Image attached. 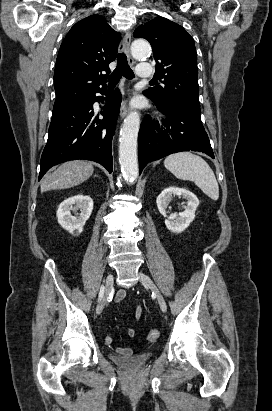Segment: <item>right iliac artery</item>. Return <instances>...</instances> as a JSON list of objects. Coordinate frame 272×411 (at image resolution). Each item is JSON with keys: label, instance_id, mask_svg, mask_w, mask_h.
<instances>
[{"label": "right iliac artery", "instance_id": "right-iliac-artery-1", "mask_svg": "<svg viewBox=\"0 0 272 411\" xmlns=\"http://www.w3.org/2000/svg\"><path fill=\"white\" fill-rule=\"evenodd\" d=\"M104 286H101V288H100V292H99V300H101L102 299V297H103V295H104ZM107 340V339H106Z\"/></svg>", "mask_w": 272, "mask_h": 411}]
</instances>
